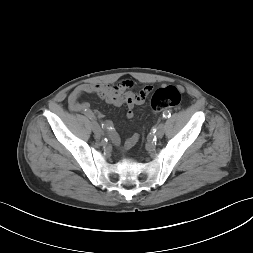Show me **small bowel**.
<instances>
[{"instance_id":"small-bowel-1","label":"small bowel","mask_w":253,"mask_h":253,"mask_svg":"<svg viewBox=\"0 0 253 253\" xmlns=\"http://www.w3.org/2000/svg\"><path fill=\"white\" fill-rule=\"evenodd\" d=\"M133 87V82L130 80H122L116 85L109 84H81L73 89L68 97V107L71 111L77 113L93 114L90 104L85 101H80V97L83 94H96L101 99L105 100L108 104L114 106H121L126 104L128 106L127 117L132 118L134 116L133 107L135 105L142 104L145 98L151 93L153 87L145 86L138 93L131 91ZM101 118L102 114H98ZM111 122L107 121L106 126H110ZM138 139L137 134L130 136L124 147H132ZM111 140L115 145H119L120 139L118 135L111 134Z\"/></svg>"}]
</instances>
